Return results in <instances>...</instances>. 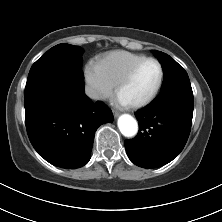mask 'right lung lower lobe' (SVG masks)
Returning a JSON list of instances; mask_svg holds the SVG:
<instances>
[{"label": "right lung lower lobe", "mask_w": 222, "mask_h": 222, "mask_svg": "<svg viewBox=\"0 0 222 222\" xmlns=\"http://www.w3.org/2000/svg\"><path fill=\"white\" fill-rule=\"evenodd\" d=\"M29 139L49 163L66 169L80 168L90 160L97 128L112 122L111 110L93 103L83 92L72 102L40 100L25 105Z\"/></svg>", "instance_id": "right-lung-lower-lobe-1"}]
</instances>
